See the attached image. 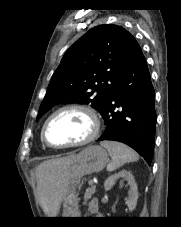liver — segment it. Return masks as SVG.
Returning <instances> with one entry per match:
<instances>
[{
  "label": "liver",
  "mask_w": 181,
  "mask_h": 227,
  "mask_svg": "<svg viewBox=\"0 0 181 227\" xmlns=\"http://www.w3.org/2000/svg\"><path fill=\"white\" fill-rule=\"evenodd\" d=\"M75 154L42 162L36 168L37 193L46 215L55 217L59 213L69 186L70 166Z\"/></svg>",
  "instance_id": "obj_1"
}]
</instances>
